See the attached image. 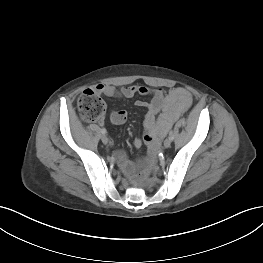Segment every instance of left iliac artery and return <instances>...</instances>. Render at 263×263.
Returning <instances> with one entry per match:
<instances>
[{
    "label": "left iliac artery",
    "instance_id": "obj_1",
    "mask_svg": "<svg viewBox=\"0 0 263 263\" xmlns=\"http://www.w3.org/2000/svg\"><path fill=\"white\" fill-rule=\"evenodd\" d=\"M169 139H171V140L174 139V134H173V132H170V134H169Z\"/></svg>",
    "mask_w": 263,
    "mask_h": 263
}]
</instances>
